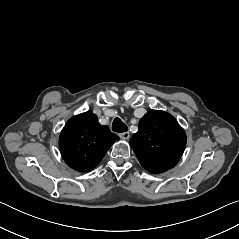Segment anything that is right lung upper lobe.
Masks as SVG:
<instances>
[{"mask_svg":"<svg viewBox=\"0 0 239 239\" xmlns=\"http://www.w3.org/2000/svg\"><path fill=\"white\" fill-rule=\"evenodd\" d=\"M119 137L107 126L98 123L91 111L68 120L59 138L61 155L67 165L79 172H88L102 160Z\"/></svg>","mask_w":239,"mask_h":239,"instance_id":"right-lung-upper-lobe-1","label":"right lung upper lobe"}]
</instances>
